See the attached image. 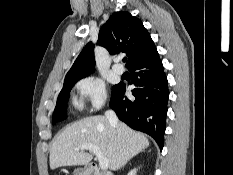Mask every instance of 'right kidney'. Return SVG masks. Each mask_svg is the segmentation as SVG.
<instances>
[{"label":"right kidney","mask_w":233,"mask_h":175,"mask_svg":"<svg viewBox=\"0 0 233 175\" xmlns=\"http://www.w3.org/2000/svg\"><path fill=\"white\" fill-rule=\"evenodd\" d=\"M136 173H137V169L135 168L131 170L127 175H136Z\"/></svg>","instance_id":"right-kidney-1"}]
</instances>
